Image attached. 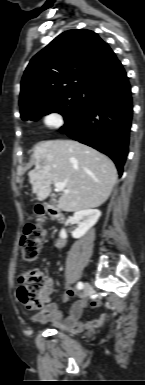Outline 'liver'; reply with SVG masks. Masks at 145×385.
I'll use <instances>...</instances> for the list:
<instances>
[{"instance_id":"6515ba94","label":"liver","mask_w":145,"mask_h":385,"mask_svg":"<svg viewBox=\"0 0 145 385\" xmlns=\"http://www.w3.org/2000/svg\"><path fill=\"white\" fill-rule=\"evenodd\" d=\"M35 168L30 183L38 200H45L55 182L65 189L58 207L65 212L96 208L110 196L117 180L114 163L97 150L73 140L42 141L33 150Z\"/></svg>"}]
</instances>
